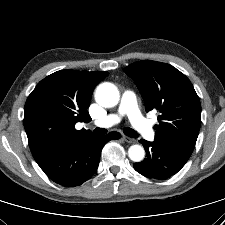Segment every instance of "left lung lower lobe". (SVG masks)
<instances>
[{"label": "left lung lower lobe", "mask_w": 225, "mask_h": 225, "mask_svg": "<svg viewBox=\"0 0 225 225\" xmlns=\"http://www.w3.org/2000/svg\"><path fill=\"white\" fill-rule=\"evenodd\" d=\"M145 148L146 158L134 164V169L148 178L167 179L176 174L187 162V154L171 145L161 142L139 141Z\"/></svg>", "instance_id": "left-lung-lower-lobe-1"}]
</instances>
